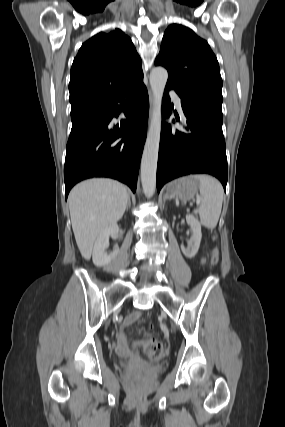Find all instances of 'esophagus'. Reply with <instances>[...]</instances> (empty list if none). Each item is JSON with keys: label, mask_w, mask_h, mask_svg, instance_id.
<instances>
[{"label": "esophagus", "mask_w": 285, "mask_h": 427, "mask_svg": "<svg viewBox=\"0 0 285 427\" xmlns=\"http://www.w3.org/2000/svg\"><path fill=\"white\" fill-rule=\"evenodd\" d=\"M149 95H150V106H151V112L153 110V104H154V98L153 95L151 93V91H149Z\"/></svg>", "instance_id": "obj_1"}]
</instances>
